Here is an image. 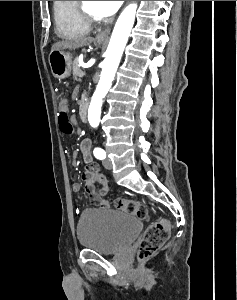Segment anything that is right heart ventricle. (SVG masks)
<instances>
[{"mask_svg":"<svg viewBox=\"0 0 237 300\" xmlns=\"http://www.w3.org/2000/svg\"><path fill=\"white\" fill-rule=\"evenodd\" d=\"M56 32L64 38L88 34L91 25L85 22L78 10V1H53Z\"/></svg>","mask_w":237,"mask_h":300,"instance_id":"obj_1","label":"right heart ventricle"}]
</instances>
